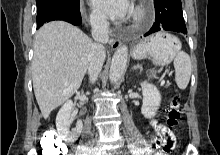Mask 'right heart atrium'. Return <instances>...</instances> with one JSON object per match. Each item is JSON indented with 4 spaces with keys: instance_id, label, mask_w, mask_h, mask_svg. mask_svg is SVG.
Segmentation results:
<instances>
[{
    "instance_id": "1",
    "label": "right heart atrium",
    "mask_w": 220,
    "mask_h": 155,
    "mask_svg": "<svg viewBox=\"0 0 220 155\" xmlns=\"http://www.w3.org/2000/svg\"><path fill=\"white\" fill-rule=\"evenodd\" d=\"M89 19L91 24L96 28H104L107 26L108 22L106 17L97 10H91Z\"/></svg>"
}]
</instances>
